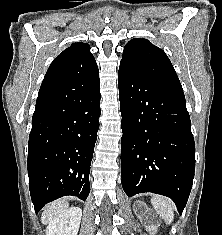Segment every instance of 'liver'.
Wrapping results in <instances>:
<instances>
[{"instance_id":"liver-1","label":"liver","mask_w":222,"mask_h":235,"mask_svg":"<svg viewBox=\"0 0 222 235\" xmlns=\"http://www.w3.org/2000/svg\"><path fill=\"white\" fill-rule=\"evenodd\" d=\"M68 207H69V204L64 199H60V200L50 203L44 208V211L42 212L41 222L43 224L49 223L55 216L66 211Z\"/></svg>"}]
</instances>
